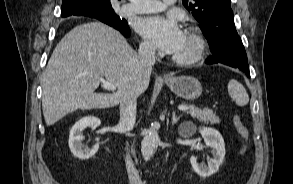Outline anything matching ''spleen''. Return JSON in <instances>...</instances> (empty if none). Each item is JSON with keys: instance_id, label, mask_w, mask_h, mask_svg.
Returning a JSON list of instances; mask_svg holds the SVG:
<instances>
[{"instance_id": "1", "label": "spleen", "mask_w": 293, "mask_h": 184, "mask_svg": "<svg viewBox=\"0 0 293 184\" xmlns=\"http://www.w3.org/2000/svg\"><path fill=\"white\" fill-rule=\"evenodd\" d=\"M228 93L238 106H245L249 102V96L244 86L235 79L229 81Z\"/></svg>"}]
</instances>
